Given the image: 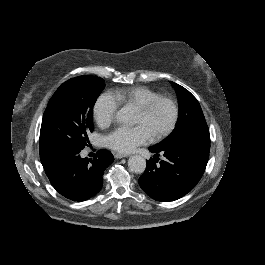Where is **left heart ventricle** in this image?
I'll return each mask as SVG.
<instances>
[{"label": "left heart ventricle", "mask_w": 265, "mask_h": 265, "mask_svg": "<svg viewBox=\"0 0 265 265\" xmlns=\"http://www.w3.org/2000/svg\"><path fill=\"white\" fill-rule=\"evenodd\" d=\"M171 115L172 111L170 106L166 103H159L147 116L137 112L135 124L144 125L150 134L154 136L167 126L171 119Z\"/></svg>", "instance_id": "obj_1"}]
</instances>
